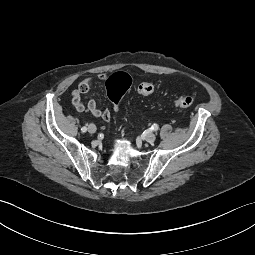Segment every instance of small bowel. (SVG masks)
<instances>
[{"label": "small bowel", "mask_w": 255, "mask_h": 255, "mask_svg": "<svg viewBox=\"0 0 255 255\" xmlns=\"http://www.w3.org/2000/svg\"><path fill=\"white\" fill-rule=\"evenodd\" d=\"M105 78L104 75H99V79L103 80ZM96 85V81L91 78L87 77L83 79L77 89L73 90L72 92V104L75 109L79 112H83L88 110L93 116L101 117L106 121L111 119V112L109 110H101L95 100H90L87 104H85L81 98L82 94L88 93L94 86Z\"/></svg>", "instance_id": "c3829d8e"}]
</instances>
